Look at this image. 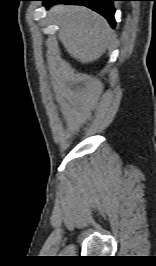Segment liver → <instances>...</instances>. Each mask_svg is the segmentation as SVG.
Returning <instances> with one entry per match:
<instances>
[{"label": "liver", "instance_id": "1", "mask_svg": "<svg viewBox=\"0 0 156 266\" xmlns=\"http://www.w3.org/2000/svg\"><path fill=\"white\" fill-rule=\"evenodd\" d=\"M51 13L59 20L58 38L73 58L91 63L103 55L113 31L102 16L76 5H58Z\"/></svg>", "mask_w": 156, "mask_h": 266}]
</instances>
